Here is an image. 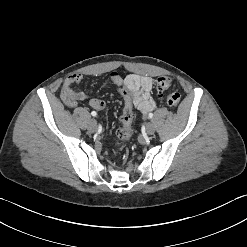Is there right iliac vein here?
<instances>
[{"mask_svg":"<svg viewBox=\"0 0 247 247\" xmlns=\"http://www.w3.org/2000/svg\"><path fill=\"white\" fill-rule=\"evenodd\" d=\"M90 132H95L97 130V123L95 119H91L89 122V127H88Z\"/></svg>","mask_w":247,"mask_h":247,"instance_id":"1","label":"right iliac vein"}]
</instances>
